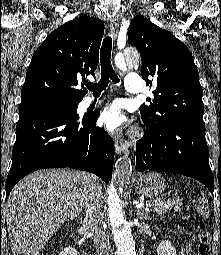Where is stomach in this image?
Segmentation results:
<instances>
[{
    "label": "stomach",
    "mask_w": 221,
    "mask_h": 255,
    "mask_svg": "<svg viewBox=\"0 0 221 255\" xmlns=\"http://www.w3.org/2000/svg\"><path fill=\"white\" fill-rule=\"evenodd\" d=\"M132 185L141 195L148 197H156L160 195L166 188L164 178L155 172L140 175L132 180Z\"/></svg>",
    "instance_id": "1"
}]
</instances>
